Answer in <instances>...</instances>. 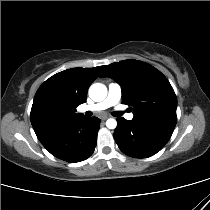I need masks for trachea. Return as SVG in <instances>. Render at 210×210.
<instances>
[{
  "instance_id": "trachea-1",
  "label": "trachea",
  "mask_w": 210,
  "mask_h": 210,
  "mask_svg": "<svg viewBox=\"0 0 210 210\" xmlns=\"http://www.w3.org/2000/svg\"><path fill=\"white\" fill-rule=\"evenodd\" d=\"M112 115L115 116V117H119V116L122 115V112H120V111H115V112L112 113Z\"/></svg>"
}]
</instances>
